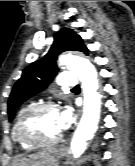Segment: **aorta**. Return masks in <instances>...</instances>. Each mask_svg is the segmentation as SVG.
<instances>
[{
    "label": "aorta",
    "mask_w": 135,
    "mask_h": 166,
    "mask_svg": "<svg viewBox=\"0 0 135 166\" xmlns=\"http://www.w3.org/2000/svg\"><path fill=\"white\" fill-rule=\"evenodd\" d=\"M60 65L71 70L81 81L84 94L83 116L73 135L70 149L74 158L80 157L87 143L94 136L101 109V95L98 91V77L95 67L85 58L64 55L60 57Z\"/></svg>",
    "instance_id": "obj_1"
}]
</instances>
